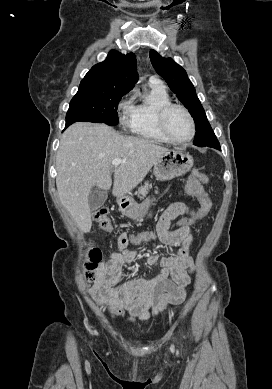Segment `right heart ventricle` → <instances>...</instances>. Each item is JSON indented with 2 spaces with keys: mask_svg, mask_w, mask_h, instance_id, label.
<instances>
[{
  "mask_svg": "<svg viewBox=\"0 0 272 389\" xmlns=\"http://www.w3.org/2000/svg\"><path fill=\"white\" fill-rule=\"evenodd\" d=\"M168 103H171V97L165 87L150 83L140 101L129 110L128 129L147 140L168 142L157 122L159 110Z\"/></svg>",
  "mask_w": 272,
  "mask_h": 389,
  "instance_id": "right-heart-ventricle-1",
  "label": "right heart ventricle"
}]
</instances>
